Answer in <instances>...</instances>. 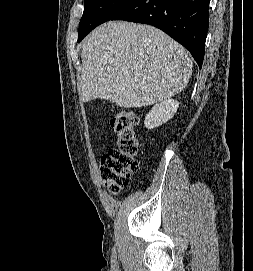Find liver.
<instances>
[{"label": "liver", "instance_id": "6515ba94", "mask_svg": "<svg viewBox=\"0 0 253 271\" xmlns=\"http://www.w3.org/2000/svg\"><path fill=\"white\" fill-rule=\"evenodd\" d=\"M81 97L141 108L181 92L192 74L188 52L161 30L107 22L82 43Z\"/></svg>", "mask_w": 253, "mask_h": 271}]
</instances>
